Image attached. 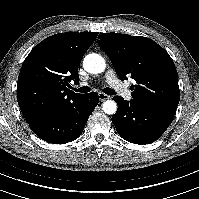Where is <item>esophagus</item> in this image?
I'll list each match as a JSON object with an SVG mask.
<instances>
[{"instance_id":"34e87169","label":"esophagus","mask_w":199,"mask_h":199,"mask_svg":"<svg viewBox=\"0 0 199 199\" xmlns=\"http://www.w3.org/2000/svg\"><path fill=\"white\" fill-rule=\"evenodd\" d=\"M98 96H99L100 101H105V100H107V99L110 98L108 95H106V94L103 93V92H99V93H98Z\"/></svg>"}]
</instances>
